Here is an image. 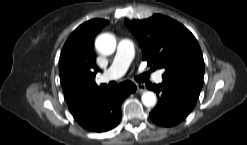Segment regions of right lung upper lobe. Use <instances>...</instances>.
I'll use <instances>...</instances> for the list:
<instances>
[{
    "label": "right lung upper lobe",
    "instance_id": "right-lung-upper-lobe-1",
    "mask_svg": "<svg viewBox=\"0 0 247 145\" xmlns=\"http://www.w3.org/2000/svg\"><path fill=\"white\" fill-rule=\"evenodd\" d=\"M108 24L107 20L93 19L80 25L67 39L60 56L59 73L70 110L88 99L100 88L95 83L99 71L95 63L93 40Z\"/></svg>",
    "mask_w": 247,
    "mask_h": 145
}]
</instances>
